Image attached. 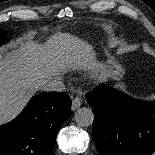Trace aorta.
I'll return each instance as SVG.
<instances>
[{"label":"aorta","mask_w":155,"mask_h":155,"mask_svg":"<svg viewBox=\"0 0 155 155\" xmlns=\"http://www.w3.org/2000/svg\"><path fill=\"white\" fill-rule=\"evenodd\" d=\"M75 121L81 127H88L94 122V114L90 108H79L75 113Z\"/></svg>","instance_id":"762f6f07"}]
</instances>
